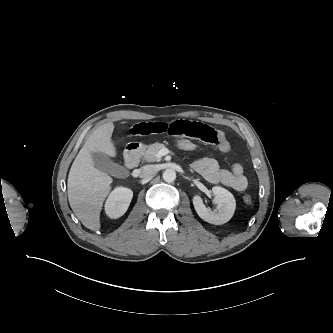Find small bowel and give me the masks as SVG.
<instances>
[{
    "label": "small bowel",
    "mask_w": 333,
    "mask_h": 333,
    "mask_svg": "<svg viewBox=\"0 0 333 333\" xmlns=\"http://www.w3.org/2000/svg\"><path fill=\"white\" fill-rule=\"evenodd\" d=\"M129 132L134 136L165 134L171 137H189L215 145L223 153L230 150L229 142L222 131L197 121L178 119L140 122L132 125ZM192 167L211 183H221L236 191H244L248 186L243 166L239 163H235L230 169H222L217 160L205 157L195 161Z\"/></svg>",
    "instance_id": "c3829d8e"
}]
</instances>
